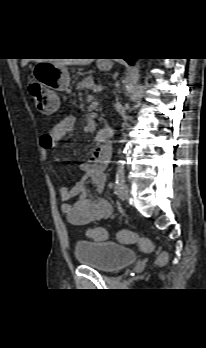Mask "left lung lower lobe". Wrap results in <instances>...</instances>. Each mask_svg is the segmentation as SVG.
<instances>
[{
    "label": "left lung lower lobe",
    "mask_w": 206,
    "mask_h": 348,
    "mask_svg": "<svg viewBox=\"0 0 206 348\" xmlns=\"http://www.w3.org/2000/svg\"><path fill=\"white\" fill-rule=\"evenodd\" d=\"M125 60H126L129 64L132 65L135 59L129 58V59H125Z\"/></svg>",
    "instance_id": "left-lung-lower-lobe-1"
}]
</instances>
